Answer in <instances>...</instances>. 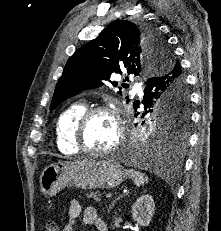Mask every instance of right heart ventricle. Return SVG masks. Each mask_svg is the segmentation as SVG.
I'll list each match as a JSON object with an SVG mask.
<instances>
[{
    "mask_svg": "<svg viewBox=\"0 0 221 231\" xmlns=\"http://www.w3.org/2000/svg\"><path fill=\"white\" fill-rule=\"evenodd\" d=\"M86 110L83 103H75L67 107L56 122V143L59 151L66 155L78 153L74 145V127L79 116Z\"/></svg>",
    "mask_w": 221,
    "mask_h": 231,
    "instance_id": "1",
    "label": "right heart ventricle"
}]
</instances>
